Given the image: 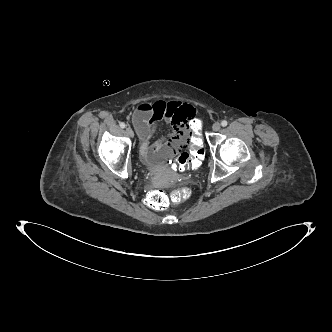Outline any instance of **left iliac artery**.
Wrapping results in <instances>:
<instances>
[{"mask_svg":"<svg viewBox=\"0 0 332 332\" xmlns=\"http://www.w3.org/2000/svg\"><path fill=\"white\" fill-rule=\"evenodd\" d=\"M227 124H228V122H227L226 120H223V121L221 122V125H222L223 127L227 126Z\"/></svg>","mask_w":332,"mask_h":332,"instance_id":"obj_1","label":"left iliac artery"}]
</instances>
